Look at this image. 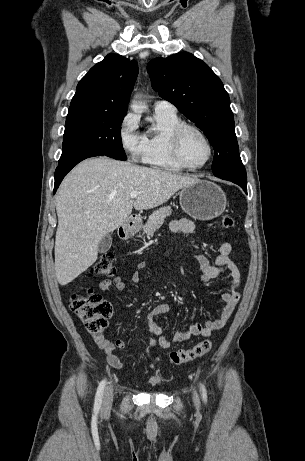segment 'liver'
<instances>
[{
	"label": "liver",
	"instance_id": "6515ba94",
	"mask_svg": "<svg viewBox=\"0 0 305 461\" xmlns=\"http://www.w3.org/2000/svg\"><path fill=\"white\" fill-rule=\"evenodd\" d=\"M197 180L106 157L78 164L64 178L56 197L59 284L72 282L97 260L101 239L122 225L133 207L155 208ZM133 191L139 193L135 200L130 198Z\"/></svg>",
	"mask_w": 305,
	"mask_h": 461
}]
</instances>
